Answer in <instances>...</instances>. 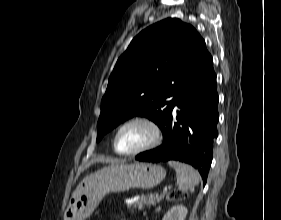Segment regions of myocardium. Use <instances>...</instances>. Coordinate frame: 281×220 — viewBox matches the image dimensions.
I'll return each mask as SVG.
<instances>
[{
    "instance_id": "1",
    "label": "myocardium",
    "mask_w": 281,
    "mask_h": 220,
    "mask_svg": "<svg viewBox=\"0 0 281 220\" xmlns=\"http://www.w3.org/2000/svg\"><path fill=\"white\" fill-rule=\"evenodd\" d=\"M135 123L145 124L146 126H148L151 129L152 138H151L150 142L147 143L145 146H143V147H141L137 150L131 151V152H121V151H119L118 148H117V139H118L119 134L121 133V131L125 127H127L131 124H135ZM161 141H162V131H161V128L158 125V123L155 122L153 119L145 117V116H136V117H133V118H130V119L126 120L125 122H123L118 127V129L116 130V133L114 135V138H113V148H114V151L119 155L136 156V155H139L141 153H144V152H147L149 150L154 149L155 147H157L161 143Z\"/></svg>"
}]
</instances>
